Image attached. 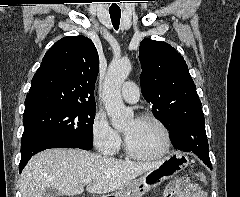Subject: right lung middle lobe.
<instances>
[{
    "label": "right lung middle lobe",
    "instance_id": "1",
    "mask_svg": "<svg viewBox=\"0 0 240 197\" xmlns=\"http://www.w3.org/2000/svg\"><path fill=\"white\" fill-rule=\"evenodd\" d=\"M94 118L95 106L49 105L24 111L21 141L51 137L90 150Z\"/></svg>",
    "mask_w": 240,
    "mask_h": 197
}]
</instances>
